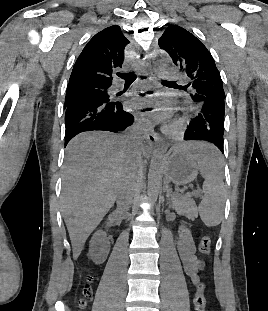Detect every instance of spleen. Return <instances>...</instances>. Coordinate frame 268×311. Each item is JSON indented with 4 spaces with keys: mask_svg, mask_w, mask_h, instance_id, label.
<instances>
[{
    "mask_svg": "<svg viewBox=\"0 0 268 311\" xmlns=\"http://www.w3.org/2000/svg\"><path fill=\"white\" fill-rule=\"evenodd\" d=\"M186 146L192 147V156L204 178V197L198 207L200 218L209 227L217 226L223 219L226 197L219 148L206 140H187Z\"/></svg>",
    "mask_w": 268,
    "mask_h": 311,
    "instance_id": "1",
    "label": "spleen"
}]
</instances>
